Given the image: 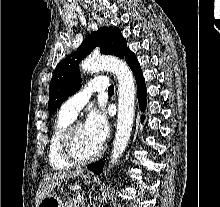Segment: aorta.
<instances>
[{
	"label": "aorta",
	"mask_w": 220,
	"mask_h": 207,
	"mask_svg": "<svg viewBox=\"0 0 220 207\" xmlns=\"http://www.w3.org/2000/svg\"><path fill=\"white\" fill-rule=\"evenodd\" d=\"M84 73L108 70L118 81V115L116 134L110 157L111 165L116 164L130 140L134 121L136 87L133 74L121 59L113 56L90 57L81 63Z\"/></svg>",
	"instance_id": "aorta-1"
}]
</instances>
